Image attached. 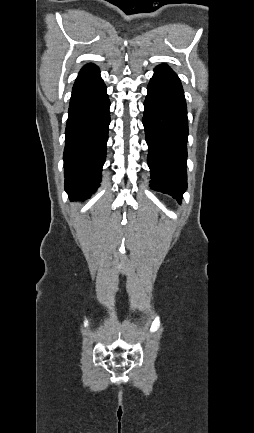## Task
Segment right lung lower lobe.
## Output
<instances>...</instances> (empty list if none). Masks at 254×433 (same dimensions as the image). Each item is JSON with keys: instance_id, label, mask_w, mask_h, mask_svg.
<instances>
[{"instance_id": "98d812e1", "label": "right lung lower lobe", "mask_w": 254, "mask_h": 433, "mask_svg": "<svg viewBox=\"0 0 254 433\" xmlns=\"http://www.w3.org/2000/svg\"><path fill=\"white\" fill-rule=\"evenodd\" d=\"M109 107L98 67L87 64L73 86L65 131V190L70 200L86 199L99 186L106 157Z\"/></svg>"}]
</instances>
